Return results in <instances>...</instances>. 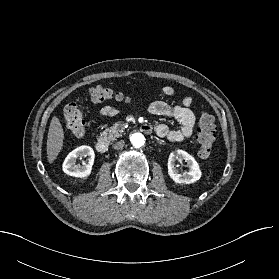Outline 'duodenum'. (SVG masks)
Returning a JSON list of instances; mask_svg holds the SVG:
<instances>
[{
  "label": "duodenum",
  "mask_w": 279,
  "mask_h": 279,
  "mask_svg": "<svg viewBox=\"0 0 279 279\" xmlns=\"http://www.w3.org/2000/svg\"><path fill=\"white\" fill-rule=\"evenodd\" d=\"M142 130L146 133L152 132V128L149 125H143ZM96 150L99 153H105L108 150V141L105 139H98L96 144H95Z\"/></svg>",
  "instance_id": "1"
}]
</instances>
